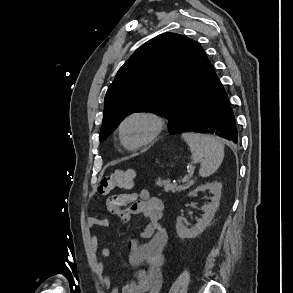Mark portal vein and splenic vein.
Instances as JSON below:
<instances>
[{
  "mask_svg": "<svg viewBox=\"0 0 293 293\" xmlns=\"http://www.w3.org/2000/svg\"><path fill=\"white\" fill-rule=\"evenodd\" d=\"M189 179L188 176H186L185 178H183L182 182H186Z\"/></svg>",
  "mask_w": 293,
  "mask_h": 293,
  "instance_id": "portal-vein-and-splenic-vein-1",
  "label": "portal vein and splenic vein"
}]
</instances>
